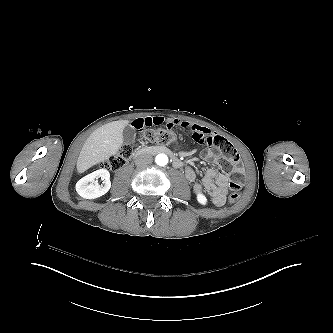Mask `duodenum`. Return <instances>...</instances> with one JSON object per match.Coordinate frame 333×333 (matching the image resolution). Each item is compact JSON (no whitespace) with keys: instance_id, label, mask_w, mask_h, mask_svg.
I'll use <instances>...</instances> for the list:
<instances>
[{"instance_id":"410a0bca","label":"duodenum","mask_w":333,"mask_h":333,"mask_svg":"<svg viewBox=\"0 0 333 333\" xmlns=\"http://www.w3.org/2000/svg\"><path fill=\"white\" fill-rule=\"evenodd\" d=\"M166 154L168 155L175 168H180L182 166V161L167 147L156 145L138 148L133 153V158H137L146 154Z\"/></svg>"}]
</instances>
